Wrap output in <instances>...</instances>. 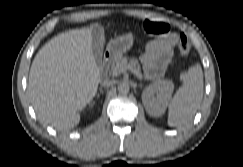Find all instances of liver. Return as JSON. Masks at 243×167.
Returning <instances> with one entry per match:
<instances>
[{
	"label": "liver",
	"mask_w": 243,
	"mask_h": 167,
	"mask_svg": "<svg viewBox=\"0 0 243 167\" xmlns=\"http://www.w3.org/2000/svg\"><path fill=\"white\" fill-rule=\"evenodd\" d=\"M100 80L92 28L54 37L37 53L29 74L28 89L38 119L57 129L74 127L80 121L78 111L93 99Z\"/></svg>",
	"instance_id": "6515ba94"
}]
</instances>
